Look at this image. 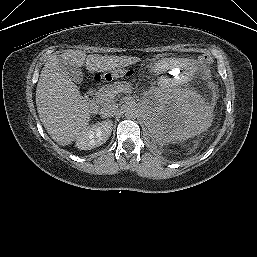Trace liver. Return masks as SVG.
I'll list each match as a JSON object with an SVG mask.
<instances>
[{
  "mask_svg": "<svg viewBox=\"0 0 257 257\" xmlns=\"http://www.w3.org/2000/svg\"><path fill=\"white\" fill-rule=\"evenodd\" d=\"M59 56L69 65H83L90 72H105L136 63L137 57L101 56L83 51L65 50L51 54L40 73L36 88L39 118L52 139L61 146L70 145L89 125L90 110L79 88L62 70Z\"/></svg>",
  "mask_w": 257,
  "mask_h": 257,
  "instance_id": "obj_1",
  "label": "liver"
}]
</instances>
